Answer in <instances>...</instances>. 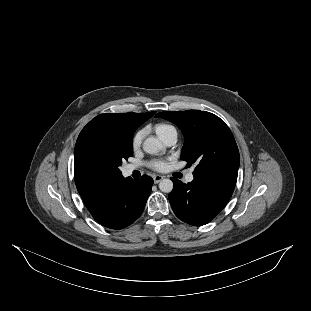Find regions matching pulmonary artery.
<instances>
[{"label": "pulmonary artery", "instance_id": "e3ab8cb5", "mask_svg": "<svg viewBox=\"0 0 311 311\" xmlns=\"http://www.w3.org/2000/svg\"><path fill=\"white\" fill-rule=\"evenodd\" d=\"M161 139L166 146H172L177 142V133L169 132L168 134L163 136ZM125 169L128 173H132L133 171L137 170L138 167L135 165H128L126 166ZM193 180H194V175H193V170H192L190 173L186 175L185 181L192 182Z\"/></svg>", "mask_w": 311, "mask_h": 311}]
</instances>
